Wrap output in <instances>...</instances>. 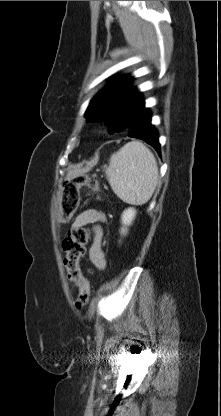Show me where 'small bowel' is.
<instances>
[{
  "instance_id": "small-bowel-1",
  "label": "small bowel",
  "mask_w": 221,
  "mask_h": 416,
  "mask_svg": "<svg viewBox=\"0 0 221 416\" xmlns=\"http://www.w3.org/2000/svg\"><path fill=\"white\" fill-rule=\"evenodd\" d=\"M105 220L106 216L103 212L90 209L79 213L71 225V228L94 226V238L89 249V257L93 265L101 270L106 267V260L102 249L103 232L99 223L105 222Z\"/></svg>"
}]
</instances>
